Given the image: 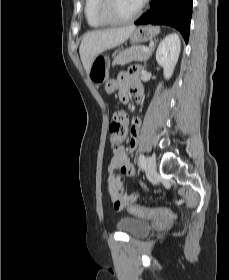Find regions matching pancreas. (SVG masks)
Masks as SVG:
<instances>
[{"label": "pancreas", "instance_id": "pancreas-1", "mask_svg": "<svg viewBox=\"0 0 229 280\" xmlns=\"http://www.w3.org/2000/svg\"><path fill=\"white\" fill-rule=\"evenodd\" d=\"M142 46H132L129 49L121 51L113 61V65H125L132 61H146L149 57V52H143Z\"/></svg>", "mask_w": 229, "mask_h": 280}]
</instances>
